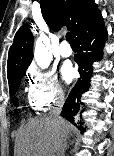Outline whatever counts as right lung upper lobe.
Masks as SVG:
<instances>
[{
	"mask_svg": "<svg viewBox=\"0 0 114 156\" xmlns=\"http://www.w3.org/2000/svg\"><path fill=\"white\" fill-rule=\"evenodd\" d=\"M41 12L48 26L58 31L64 25L75 35L95 14L98 7L94 0H41ZM33 35L28 25L17 31L9 50L8 80L24 74L33 59Z\"/></svg>",
	"mask_w": 114,
	"mask_h": 156,
	"instance_id": "1",
	"label": "right lung upper lobe"
}]
</instances>
